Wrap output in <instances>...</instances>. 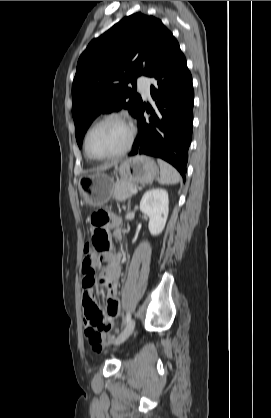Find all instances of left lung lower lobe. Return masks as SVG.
<instances>
[{
  "mask_svg": "<svg viewBox=\"0 0 271 418\" xmlns=\"http://www.w3.org/2000/svg\"><path fill=\"white\" fill-rule=\"evenodd\" d=\"M156 80L151 96L156 109L147 107L149 121L143 116L142 103L136 115L140 132L130 155L146 154L171 163L185 180L188 149L192 139L194 93L186 58L173 37L150 75Z\"/></svg>",
  "mask_w": 271,
  "mask_h": 418,
  "instance_id": "1",
  "label": "left lung lower lobe"
}]
</instances>
